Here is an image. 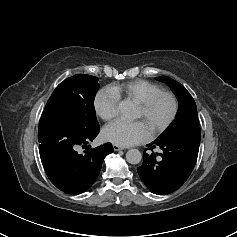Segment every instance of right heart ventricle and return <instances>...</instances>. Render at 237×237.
<instances>
[{"label": "right heart ventricle", "mask_w": 237, "mask_h": 237, "mask_svg": "<svg viewBox=\"0 0 237 237\" xmlns=\"http://www.w3.org/2000/svg\"><path fill=\"white\" fill-rule=\"evenodd\" d=\"M119 99L140 102L149 96L161 91V87L143 79H136L122 83H116L109 87Z\"/></svg>", "instance_id": "e07e8e85"}]
</instances>
